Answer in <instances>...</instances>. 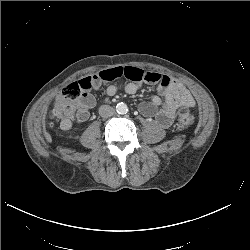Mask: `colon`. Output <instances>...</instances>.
<instances>
[{
	"label": "colon",
	"instance_id": "obj_1",
	"mask_svg": "<svg viewBox=\"0 0 250 250\" xmlns=\"http://www.w3.org/2000/svg\"><path fill=\"white\" fill-rule=\"evenodd\" d=\"M81 95V88L75 82L64 87L55 98L50 116L55 119L69 120L76 109V102ZM194 124L192 114L187 108L178 111L176 127L178 130L185 131L190 129Z\"/></svg>",
	"mask_w": 250,
	"mask_h": 250
}]
</instances>
